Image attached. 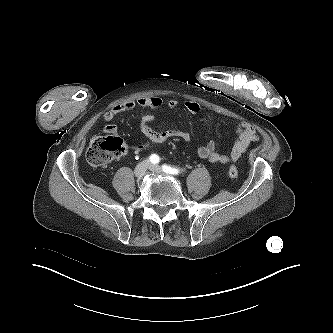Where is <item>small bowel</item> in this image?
<instances>
[{
	"label": "small bowel",
	"instance_id": "c3829d8e",
	"mask_svg": "<svg viewBox=\"0 0 333 333\" xmlns=\"http://www.w3.org/2000/svg\"><path fill=\"white\" fill-rule=\"evenodd\" d=\"M179 106V101L169 99L164 101L159 96H144L136 100L127 101L113 106L103 115L104 122H110L119 115H124L136 107H141L150 110H158L161 107L174 109ZM185 108L192 114L201 113V106L193 101L188 100L184 103ZM156 119L153 113H146L140 118V130L146 137L149 143H163L167 140L178 138L184 141H190L191 135L185 130H167L163 132L155 131L151 127V122ZM103 131L114 136L118 135V128L114 124H106ZM236 139L227 152H221L216 149V142L209 140L206 144L197 149V155L204 160L216 164H230L238 161L247 151L252 142L259 140L258 133L252 125L247 122L239 123L235 128ZM148 144L134 146L132 149L135 152H140L147 148Z\"/></svg>",
	"mask_w": 333,
	"mask_h": 333
}]
</instances>
